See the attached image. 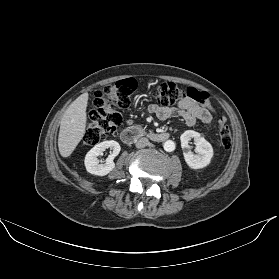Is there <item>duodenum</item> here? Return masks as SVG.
<instances>
[{
  "mask_svg": "<svg viewBox=\"0 0 279 279\" xmlns=\"http://www.w3.org/2000/svg\"><path fill=\"white\" fill-rule=\"evenodd\" d=\"M143 137H146L152 141L162 142L169 138V134L167 132L147 131L136 127L124 129L120 133L121 140L126 144H132L136 140Z\"/></svg>",
  "mask_w": 279,
  "mask_h": 279,
  "instance_id": "410a0bca",
  "label": "duodenum"
}]
</instances>
